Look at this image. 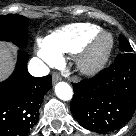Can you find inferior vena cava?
Here are the masks:
<instances>
[{
    "mask_svg": "<svg viewBox=\"0 0 136 136\" xmlns=\"http://www.w3.org/2000/svg\"><path fill=\"white\" fill-rule=\"evenodd\" d=\"M28 71L32 76L42 77L49 73V68L38 58H32L28 65Z\"/></svg>",
    "mask_w": 136,
    "mask_h": 136,
    "instance_id": "602c4592",
    "label": "inferior vena cava"
}]
</instances>
